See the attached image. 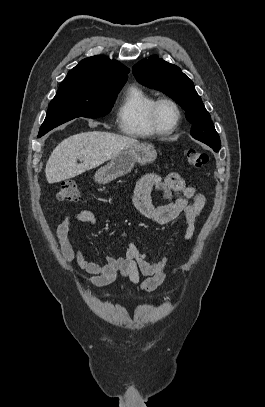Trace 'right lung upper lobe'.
Listing matches in <instances>:
<instances>
[{"instance_id": "cb5924a9", "label": "right lung upper lobe", "mask_w": 265, "mask_h": 407, "mask_svg": "<svg viewBox=\"0 0 265 407\" xmlns=\"http://www.w3.org/2000/svg\"><path fill=\"white\" fill-rule=\"evenodd\" d=\"M129 71L127 67L116 60H110L103 55H96L81 60L76 67L68 72L64 80L125 84Z\"/></svg>"}]
</instances>
